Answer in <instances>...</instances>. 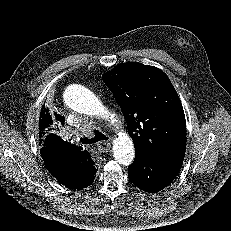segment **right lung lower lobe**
<instances>
[{"instance_id": "right-lung-lower-lobe-1", "label": "right lung lower lobe", "mask_w": 231, "mask_h": 231, "mask_svg": "<svg viewBox=\"0 0 231 231\" xmlns=\"http://www.w3.org/2000/svg\"><path fill=\"white\" fill-rule=\"evenodd\" d=\"M86 162H88V163H90V168H89V176L87 177L88 179H87V181H86V183H87V185L89 186V185H91L92 184V182L94 181V178H95V173H96V168L93 166V164H94V162L92 161V159H91V157H90V154H89V156L87 157V159H86ZM87 187V186H86Z\"/></svg>"}]
</instances>
